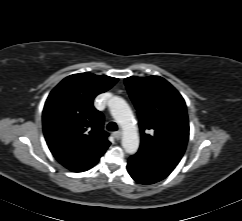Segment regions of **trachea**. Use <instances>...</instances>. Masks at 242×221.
Wrapping results in <instances>:
<instances>
[{
  "label": "trachea",
  "mask_w": 242,
  "mask_h": 221,
  "mask_svg": "<svg viewBox=\"0 0 242 221\" xmlns=\"http://www.w3.org/2000/svg\"><path fill=\"white\" fill-rule=\"evenodd\" d=\"M118 127L117 124L115 122H110L107 125V130L109 131H117Z\"/></svg>",
  "instance_id": "trachea-1"
}]
</instances>
